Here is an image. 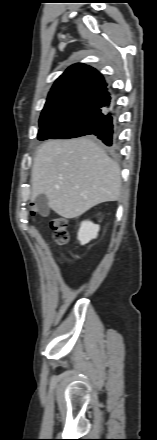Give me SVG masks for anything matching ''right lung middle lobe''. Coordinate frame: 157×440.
I'll list each match as a JSON object with an SVG mask.
<instances>
[{
  "mask_svg": "<svg viewBox=\"0 0 157 440\" xmlns=\"http://www.w3.org/2000/svg\"><path fill=\"white\" fill-rule=\"evenodd\" d=\"M40 123L38 139H69L86 135H94L82 121L49 120Z\"/></svg>",
  "mask_w": 157,
  "mask_h": 440,
  "instance_id": "obj_1",
  "label": "right lung middle lobe"
}]
</instances>
